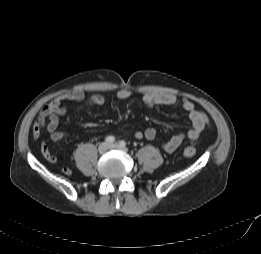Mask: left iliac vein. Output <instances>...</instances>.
Listing matches in <instances>:
<instances>
[{
  "label": "left iliac vein",
  "mask_w": 261,
  "mask_h": 254,
  "mask_svg": "<svg viewBox=\"0 0 261 254\" xmlns=\"http://www.w3.org/2000/svg\"><path fill=\"white\" fill-rule=\"evenodd\" d=\"M109 148L110 149H123V150H126L124 147H121L118 143L110 144Z\"/></svg>",
  "instance_id": "1"
}]
</instances>
